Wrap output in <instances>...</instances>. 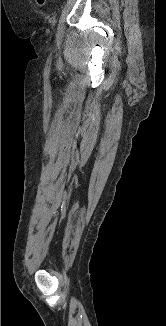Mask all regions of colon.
Instances as JSON below:
<instances>
[{
  "mask_svg": "<svg viewBox=\"0 0 166 326\" xmlns=\"http://www.w3.org/2000/svg\"><path fill=\"white\" fill-rule=\"evenodd\" d=\"M39 7H44L47 4V0H36Z\"/></svg>",
  "mask_w": 166,
  "mask_h": 326,
  "instance_id": "colon-1",
  "label": "colon"
}]
</instances>
